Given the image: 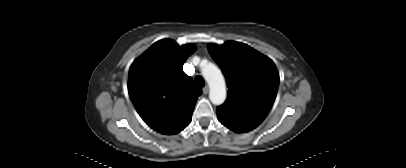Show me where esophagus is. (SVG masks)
Masks as SVG:
<instances>
[{
	"instance_id": "34e87169",
	"label": "esophagus",
	"mask_w": 406,
	"mask_h": 168,
	"mask_svg": "<svg viewBox=\"0 0 406 168\" xmlns=\"http://www.w3.org/2000/svg\"><path fill=\"white\" fill-rule=\"evenodd\" d=\"M208 92H209V87L208 86H205L204 88H203V94H208Z\"/></svg>"
}]
</instances>
